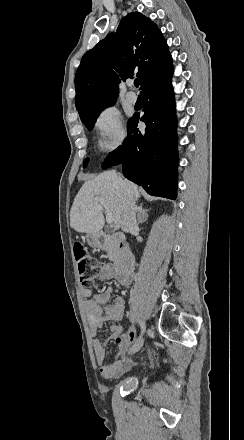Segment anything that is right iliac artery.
Listing matches in <instances>:
<instances>
[{
	"label": "right iliac artery",
	"mask_w": 244,
	"mask_h": 440,
	"mask_svg": "<svg viewBox=\"0 0 244 440\" xmlns=\"http://www.w3.org/2000/svg\"><path fill=\"white\" fill-rule=\"evenodd\" d=\"M139 324H140V326H141L142 333H144V332H145V323L142 322V321H139ZM135 341H136V339H134V340L132 341V343H134Z\"/></svg>",
	"instance_id": "right-iliac-artery-1"
}]
</instances>
